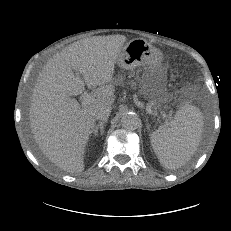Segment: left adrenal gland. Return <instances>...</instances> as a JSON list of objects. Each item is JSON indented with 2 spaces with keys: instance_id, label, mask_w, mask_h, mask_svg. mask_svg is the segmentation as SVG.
I'll list each match as a JSON object with an SVG mask.
<instances>
[{
  "instance_id": "obj_1",
  "label": "left adrenal gland",
  "mask_w": 231,
  "mask_h": 231,
  "mask_svg": "<svg viewBox=\"0 0 231 231\" xmlns=\"http://www.w3.org/2000/svg\"><path fill=\"white\" fill-rule=\"evenodd\" d=\"M150 128V125L148 124V122H147V129H149Z\"/></svg>"
}]
</instances>
